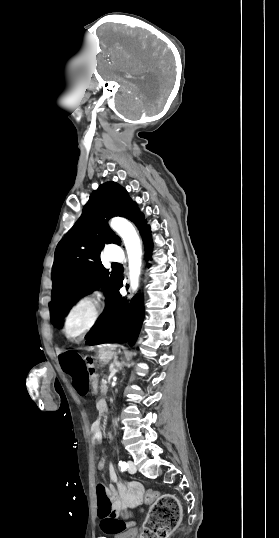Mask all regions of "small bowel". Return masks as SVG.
<instances>
[{"instance_id": "1", "label": "small bowel", "mask_w": 279, "mask_h": 538, "mask_svg": "<svg viewBox=\"0 0 279 538\" xmlns=\"http://www.w3.org/2000/svg\"><path fill=\"white\" fill-rule=\"evenodd\" d=\"M73 388L80 396H86L92 390V383L86 373H77L72 376ZM92 441L95 444L101 443L102 432L101 423L96 421L91 426ZM105 462L98 463V469L105 468ZM110 478L113 482L109 486L108 494L112 503L113 513L109 517H101V527L105 533H116L133 527V521H123L118 516L128 508H134L143 502L144 487L137 481H131L128 485L118 481L115 470L109 468Z\"/></svg>"}]
</instances>
